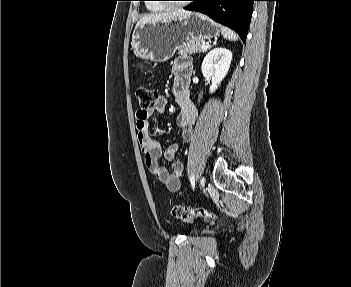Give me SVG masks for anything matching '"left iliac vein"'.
Instances as JSON below:
<instances>
[{"mask_svg":"<svg viewBox=\"0 0 351 287\" xmlns=\"http://www.w3.org/2000/svg\"><path fill=\"white\" fill-rule=\"evenodd\" d=\"M205 182H206L205 178L202 177L201 180H200V187H204Z\"/></svg>","mask_w":351,"mask_h":287,"instance_id":"obj_1","label":"left iliac vein"}]
</instances>
